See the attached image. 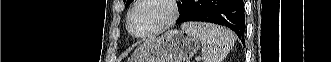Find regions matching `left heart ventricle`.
Masks as SVG:
<instances>
[{
	"mask_svg": "<svg viewBox=\"0 0 331 62\" xmlns=\"http://www.w3.org/2000/svg\"><path fill=\"white\" fill-rule=\"evenodd\" d=\"M169 14L170 10L164 2L160 0L145 2L132 15V30L136 34L145 33L159 26Z\"/></svg>",
	"mask_w": 331,
	"mask_h": 62,
	"instance_id": "left-heart-ventricle-1",
	"label": "left heart ventricle"
}]
</instances>
